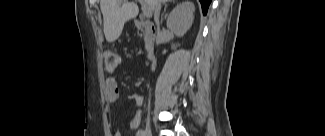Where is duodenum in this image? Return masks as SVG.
<instances>
[{
    "instance_id": "410a0bca",
    "label": "duodenum",
    "mask_w": 325,
    "mask_h": 136,
    "mask_svg": "<svg viewBox=\"0 0 325 136\" xmlns=\"http://www.w3.org/2000/svg\"><path fill=\"white\" fill-rule=\"evenodd\" d=\"M136 27L141 31L145 38V49L148 54H150L156 45V27L149 21L139 20L136 22Z\"/></svg>"
}]
</instances>
